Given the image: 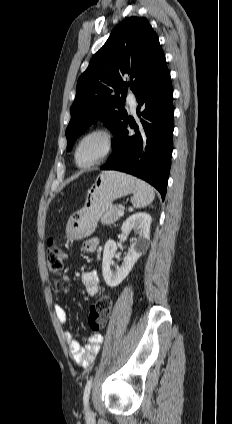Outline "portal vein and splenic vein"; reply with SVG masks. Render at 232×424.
Instances as JSON below:
<instances>
[{"label":"portal vein and splenic vein","instance_id":"18ae733b","mask_svg":"<svg viewBox=\"0 0 232 424\" xmlns=\"http://www.w3.org/2000/svg\"><path fill=\"white\" fill-rule=\"evenodd\" d=\"M118 215H119V216H123V215H124V210H123V209H120V210L118 211Z\"/></svg>","mask_w":232,"mask_h":424}]
</instances>
